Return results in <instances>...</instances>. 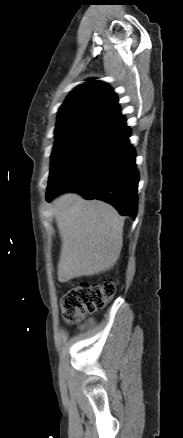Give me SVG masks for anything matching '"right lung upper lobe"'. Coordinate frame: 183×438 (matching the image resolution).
Instances as JSON below:
<instances>
[{
	"label": "right lung upper lobe",
	"mask_w": 183,
	"mask_h": 438,
	"mask_svg": "<svg viewBox=\"0 0 183 438\" xmlns=\"http://www.w3.org/2000/svg\"><path fill=\"white\" fill-rule=\"evenodd\" d=\"M121 117L117 97L103 82L89 81L75 88L60 107L55 132L88 127L99 129Z\"/></svg>",
	"instance_id": "obj_1"
}]
</instances>
